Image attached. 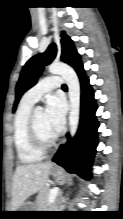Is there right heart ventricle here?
<instances>
[{"label": "right heart ventricle", "instance_id": "e07e8e85", "mask_svg": "<svg viewBox=\"0 0 123 219\" xmlns=\"http://www.w3.org/2000/svg\"><path fill=\"white\" fill-rule=\"evenodd\" d=\"M33 104L21 100L14 119V143L20 162L32 164L42 158V153L32 144L29 132V118Z\"/></svg>", "mask_w": 123, "mask_h": 219}]
</instances>
